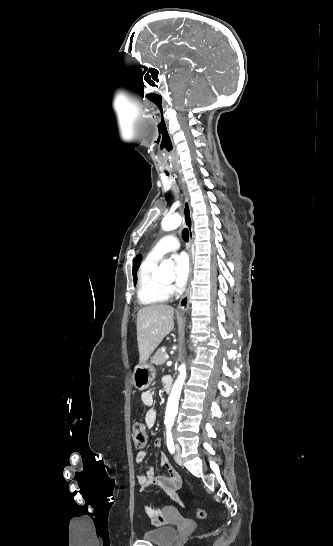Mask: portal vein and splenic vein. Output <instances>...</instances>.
<instances>
[{
	"instance_id": "18ae733b",
	"label": "portal vein and splenic vein",
	"mask_w": 333,
	"mask_h": 546,
	"mask_svg": "<svg viewBox=\"0 0 333 546\" xmlns=\"http://www.w3.org/2000/svg\"><path fill=\"white\" fill-rule=\"evenodd\" d=\"M165 358L168 359V358H169V355H168V354H165Z\"/></svg>"
}]
</instances>
